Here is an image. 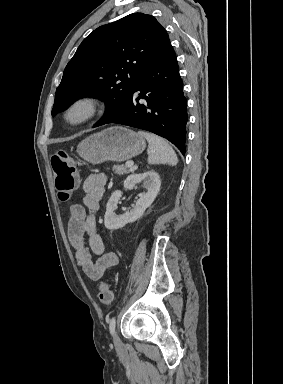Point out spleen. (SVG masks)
I'll list each match as a JSON object with an SVG mask.
<instances>
[{
  "mask_svg": "<svg viewBox=\"0 0 283 384\" xmlns=\"http://www.w3.org/2000/svg\"><path fill=\"white\" fill-rule=\"evenodd\" d=\"M139 136H143L149 144L151 150L148 156L149 164H169V166H176L178 158L163 138L155 136V134H148V132H138Z\"/></svg>",
  "mask_w": 283,
  "mask_h": 384,
  "instance_id": "3e777b00",
  "label": "spleen"
}]
</instances>
